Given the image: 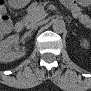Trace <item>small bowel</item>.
Masks as SVG:
<instances>
[{
	"label": "small bowel",
	"instance_id": "small-bowel-1",
	"mask_svg": "<svg viewBox=\"0 0 91 91\" xmlns=\"http://www.w3.org/2000/svg\"><path fill=\"white\" fill-rule=\"evenodd\" d=\"M1 11H6L4 7L1 8Z\"/></svg>",
	"mask_w": 91,
	"mask_h": 91
}]
</instances>
